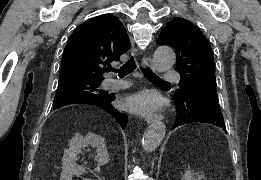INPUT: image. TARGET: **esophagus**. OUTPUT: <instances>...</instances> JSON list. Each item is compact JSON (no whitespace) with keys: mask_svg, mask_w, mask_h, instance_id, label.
Returning a JSON list of instances; mask_svg holds the SVG:
<instances>
[{"mask_svg":"<svg viewBox=\"0 0 261 180\" xmlns=\"http://www.w3.org/2000/svg\"><path fill=\"white\" fill-rule=\"evenodd\" d=\"M142 67L143 68H153L152 61L149 57L144 56L142 60ZM163 116L161 114H154V115H148L145 117V120L147 123L157 122L158 120H161Z\"/></svg>","mask_w":261,"mask_h":180,"instance_id":"esophagus-1","label":"esophagus"}]
</instances>
